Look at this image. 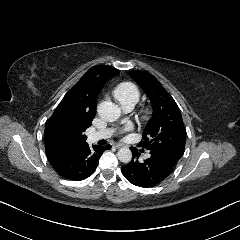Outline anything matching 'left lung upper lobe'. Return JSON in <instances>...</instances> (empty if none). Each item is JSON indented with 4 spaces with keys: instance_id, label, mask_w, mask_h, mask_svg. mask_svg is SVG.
Wrapping results in <instances>:
<instances>
[{
    "instance_id": "left-lung-upper-lobe-1",
    "label": "left lung upper lobe",
    "mask_w": 240,
    "mask_h": 240,
    "mask_svg": "<svg viewBox=\"0 0 240 240\" xmlns=\"http://www.w3.org/2000/svg\"><path fill=\"white\" fill-rule=\"evenodd\" d=\"M128 74L147 94L153 108V116L147 123L143 141L139 145L149 151H160L166 158L177 162L186 143V132L179 107L150 73L134 70Z\"/></svg>"
}]
</instances>
